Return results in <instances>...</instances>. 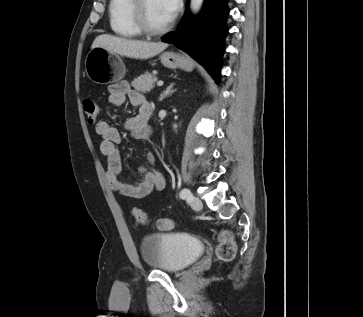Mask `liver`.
<instances>
[{"label": "liver", "instance_id": "6515ba94", "mask_svg": "<svg viewBox=\"0 0 363 317\" xmlns=\"http://www.w3.org/2000/svg\"><path fill=\"white\" fill-rule=\"evenodd\" d=\"M96 47H103L111 52L129 58L149 59L165 50L168 44L163 42L132 40L102 34L97 36L93 41L91 48Z\"/></svg>", "mask_w": 363, "mask_h": 317}]
</instances>
